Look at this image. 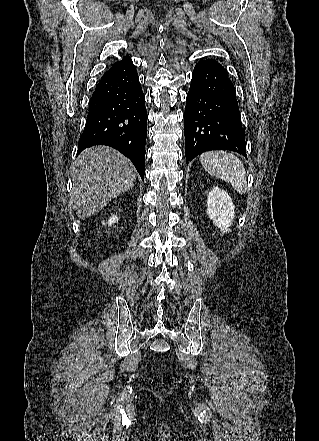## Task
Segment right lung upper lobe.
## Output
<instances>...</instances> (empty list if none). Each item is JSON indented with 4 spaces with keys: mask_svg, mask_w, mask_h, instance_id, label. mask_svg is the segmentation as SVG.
<instances>
[{
    "mask_svg": "<svg viewBox=\"0 0 319 441\" xmlns=\"http://www.w3.org/2000/svg\"><path fill=\"white\" fill-rule=\"evenodd\" d=\"M130 59H131V58H130L129 56H123L122 60H121V61H117V62H115V63L111 66L110 69H112V68L118 66L119 64H121V63H123V62H125V61H128V60H130Z\"/></svg>",
    "mask_w": 319,
    "mask_h": 441,
    "instance_id": "cb5924a9",
    "label": "right lung upper lobe"
}]
</instances>
